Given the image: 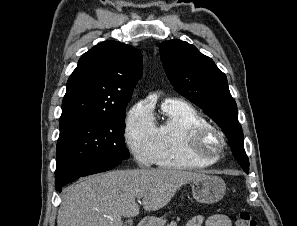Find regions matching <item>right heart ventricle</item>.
<instances>
[{
    "label": "right heart ventricle",
    "mask_w": 297,
    "mask_h": 226,
    "mask_svg": "<svg viewBox=\"0 0 297 226\" xmlns=\"http://www.w3.org/2000/svg\"><path fill=\"white\" fill-rule=\"evenodd\" d=\"M205 124H209L205 116L188 102L179 99L163 102L161 119L155 122L157 165L172 169H199L211 165L193 157L188 148L190 133Z\"/></svg>",
    "instance_id": "e07e8e85"
}]
</instances>
